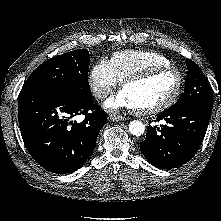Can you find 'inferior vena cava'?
<instances>
[{"label":"inferior vena cava","instance_id":"1","mask_svg":"<svg viewBox=\"0 0 221 221\" xmlns=\"http://www.w3.org/2000/svg\"><path fill=\"white\" fill-rule=\"evenodd\" d=\"M109 94V91L108 90H103L101 91L99 94H98V97L101 98V99H104L108 96Z\"/></svg>","mask_w":221,"mask_h":221}]
</instances>
